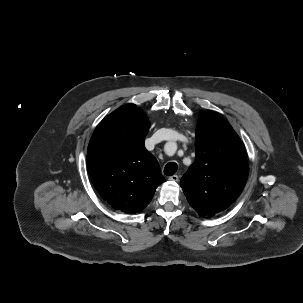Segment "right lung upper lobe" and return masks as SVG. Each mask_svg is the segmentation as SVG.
<instances>
[{"instance_id": "cb5924a9", "label": "right lung upper lobe", "mask_w": 303, "mask_h": 303, "mask_svg": "<svg viewBox=\"0 0 303 303\" xmlns=\"http://www.w3.org/2000/svg\"><path fill=\"white\" fill-rule=\"evenodd\" d=\"M150 122L134 104L106 116L90 139L87 167L100 196L113 208L138 213L165 179L156 158L144 146Z\"/></svg>"}]
</instances>
